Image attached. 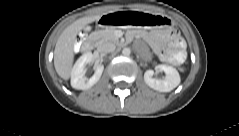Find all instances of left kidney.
Segmentation results:
<instances>
[{"mask_svg": "<svg viewBox=\"0 0 239 136\" xmlns=\"http://www.w3.org/2000/svg\"><path fill=\"white\" fill-rule=\"evenodd\" d=\"M155 70L164 71L165 77L163 79L153 78L154 71L147 70L144 73V81L150 88L160 92H170L179 85L180 75L172 66L160 64L155 67Z\"/></svg>", "mask_w": 239, "mask_h": 136, "instance_id": "obj_1", "label": "left kidney"}]
</instances>
